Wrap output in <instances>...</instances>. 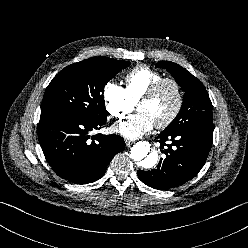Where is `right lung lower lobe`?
Wrapping results in <instances>:
<instances>
[{"label":"right lung lower lobe","instance_id":"right-lung-lower-lobe-1","mask_svg":"<svg viewBox=\"0 0 248 248\" xmlns=\"http://www.w3.org/2000/svg\"><path fill=\"white\" fill-rule=\"evenodd\" d=\"M106 120H91L65 115H41L38 138L44 156L61 178L76 184L100 179L112 158L125 149L122 137L91 132Z\"/></svg>","mask_w":248,"mask_h":248}]
</instances>
